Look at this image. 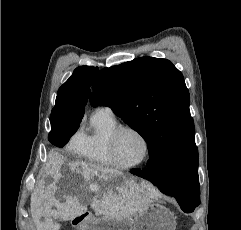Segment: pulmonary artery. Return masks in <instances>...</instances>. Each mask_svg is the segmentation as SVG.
Returning a JSON list of instances; mask_svg holds the SVG:
<instances>
[{
  "label": "pulmonary artery",
  "instance_id": "pulmonary-artery-1",
  "mask_svg": "<svg viewBox=\"0 0 241 230\" xmlns=\"http://www.w3.org/2000/svg\"><path fill=\"white\" fill-rule=\"evenodd\" d=\"M99 110H108V111H111L109 108H106V107L99 108ZM111 112H112V111H111Z\"/></svg>",
  "mask_w": 241,
  "mask_h": 230
}]
</instances>
